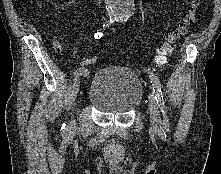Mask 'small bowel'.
<instances>
[{
    "mask_svg": "<svg viewBox=\"0 0 221 174\" xmlns=\"http://www.w3.org/2000/svg\"><path fill=\"white\" fill-rule=\"evenodd\" d=\"M54 47H55V49L57 50V51H60V49H61V46H60V44L58 43V42H54Z\"/></svg>",
    "mask_w": 221,
    "mask_h": 174,
    "instance_id": "small-bowel-1",
    "label": "small bowel"
}]
</instances>
